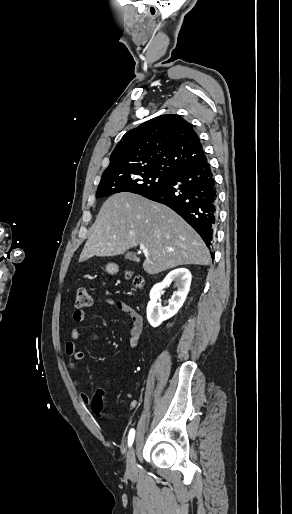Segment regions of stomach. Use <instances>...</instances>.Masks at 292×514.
Listing matches in <instances>:
<instances>
[{"label":"stomach","instance_id":"obj_1","mask_svg":"<svg viewBox=\"0 0 292 514\" xmlns=\"http://www.w3.org/2000/svg\"><path fill=\"white\" fill-rule=\"evenodd\" d=\"M106 272H108V274H117L118 266H116V264H107Z\"/></svg>","mask_w":292,"mask_h":514}]
</instances>
